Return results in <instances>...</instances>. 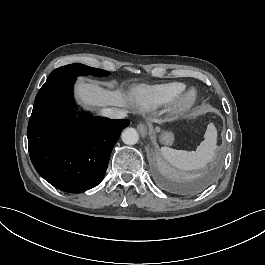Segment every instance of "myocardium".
I'll return each instance as SVG.
<instances>
[{
	"mask_svg": "<svg viewBox=\"0 0 265 265\" xmlns=\"http://www.w3.org/2000/svg\"><path fill=\"white\" fill-rule=\"evenodd\" d=\"M201 98V93L197 87L185 85L168 108L171 118H177L197 106Z\"/></svg>",
	"mask_w": 265,
	"mask_h": 265,
	"instance_id": "obj_1",
	"label": "myocardium"
}]
</instances>
